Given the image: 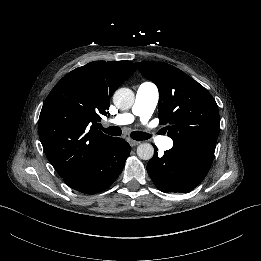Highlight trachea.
<instances>
[{
  "label": "trachea",
  "mask_w": 261,
  "mask_h": 261,
  "mask_svg": "<svg viewBox=\"0 0 261 261\" xmlns=\"http://www.w3.org/2000/svg\"><path fill=\"white\" fill-rule=\"evenodd\" d=\"M96 127L102 131H104L108 135L112 136H120L121 135V129L117 126H110L108 128H104L100 123L96 125ZM131 137L134 140L137 141H142V140H147L152 138V135L146 132H140V131H135L131 134Z\"/></svg>",
  "instance_id": "1"
}]
</instances>
